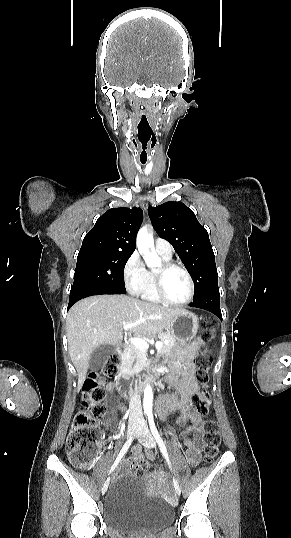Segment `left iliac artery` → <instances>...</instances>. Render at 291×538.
<instances>
[{
  "label": "left iliac artery",
  "mask_w": 291,
  "mask_h": 538,
  "mask_svg": "<svg viewBox=\"0 0 291 538\" xmlns=\"http://www.w3.org/2000/svg\"><path fill=\"white\" fill-rule=\"evenodd\" d=\"M148 420H149V425H150V429H151V432L155 438V440L157 441L158 445H159V448H160V451L161 453L163 454V456L165 457L168 465H169V468L171 469V462H170V459H169V456H168V453H167V449H166V446L155 426V423H154V418H153V414L152 413H148Z\"/></svg>",
  "instance_id": "1"
}]
</instances>
